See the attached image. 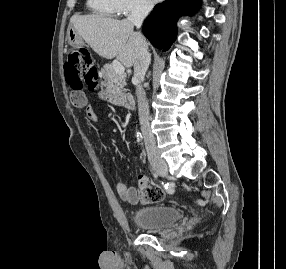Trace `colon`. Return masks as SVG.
<instances>
[{
  "label": "colon",
  "mask_w": 286,
  "mask_h": 269,
  "mask_svg": "<svg viewBox=\"0 0 286 269\" xmlns=\"http://www.w3.org/2000/svg\"><path fill=\"white\" fill-rule=\"evenodd\" d=\"M67 81L73 90L84 87L95 88L97 85V69L90 51L86 48L70 49L64 65ZM137 191L146 202H159L163 199V191L154 185L147 176H139Z\"/></svg>",
  "instance_id": "1"
}]
</instances>
